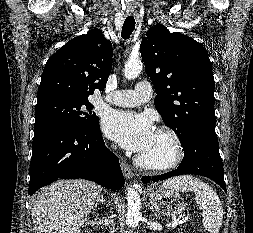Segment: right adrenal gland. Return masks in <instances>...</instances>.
I'll return each instance as SVG.
<instances>
[{"mask_svg": "<svg viewBox=\"0 0 253 233\" xmlns=\"http://www.w3.org/2000/svg\"><path fill=\"white\" fill-rule=\"evenodd\" d=\"M99 204L106 205V200L103 195H101L99 199L97 200V202L95 203L94 208H93L94 211L97 209V206H99Z\"/></svg>", "mask_w": 253, "mask_h": 233, "instance_id": "obj_1", "label": "right adrenal gland"}]
</instances>
